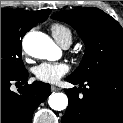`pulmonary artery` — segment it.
I'll return each instance as SVG.
<instances>
[{"mask_svg":"<svg viewBox=\"0 0 123 123\" xmlns=\"http://www.w3.org/2000/svg\"><path fill=\"white\" fill-rule=\"evenodd\" d=\"M70 44H71V43H70L69 41H64V42L61 43V46H62L63 48H67V47H69Z\"/></svg>","mask_w":123,"mask_h":123,"instance_id":"1","label":"pulmonary artery"}]
</instances>
